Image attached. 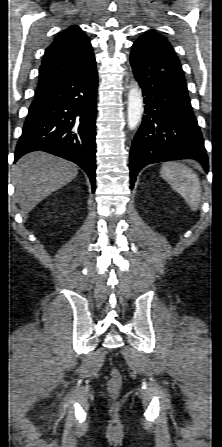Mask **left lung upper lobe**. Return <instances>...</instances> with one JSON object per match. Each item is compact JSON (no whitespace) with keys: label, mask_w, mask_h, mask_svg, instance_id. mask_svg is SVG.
Masks as SVG:
<instances>
[{"label":"left lung upper lobe","mask_w":222,"mask_h":447,"mask_svg":"<svg viewBox=\"0 0 222 447\" xmlns=\"http://www.w3.org/2000/svg\"><path fill=\"white\" fill-rule=\"evenodd\" d=\"M145 34H148V35H154V36H158V37L164 38L163 36L158 35L157 33H155L153 30L148 31V32H146ZM164 39H165V38H164Z\"/></svg>","instance_id":"5c2ea615"}]
</instances>
